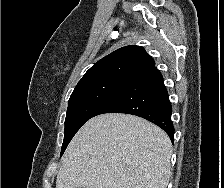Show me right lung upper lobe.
<instances>
[{
    "mask_svg": "<svg viewBox=\"0 0 224 188\" xmlns=\"http://www.w3.org/2000/svg\"><path fill=\"white\" fill-rule=\"evenodd\" d=\"M155 65L153 58L140 46L122 47L95 63L78 84L104 78L134 79Z\"/></svg>",
    "mask_w": 224,
    "mask_h": 188,
    "instance_id": "1",
    "label": "right lung upper lobe"
}]
</instances>
